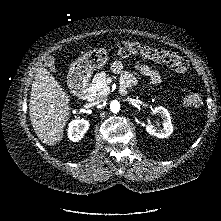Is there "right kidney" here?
Masks as SVG:
<instances>
[{"label": "right kidney", "mask_w": 221, "mask_h": 221, "mask_svg": "<svg viewBox=\"0 0 221 221\" xmlns=\"http://www.w3.org/2000/svg\"><path fill=\"white\" fill-rule=\"evenodd\" d=\"M89 128V122L87 120H74L69 123L68 138L72 142H78L84 136Z\"/></svg>", "instance_id": "right-kidney-1"}]
</instances>
